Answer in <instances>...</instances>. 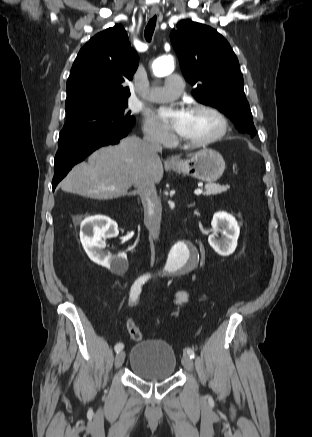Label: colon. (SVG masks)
Masks as SVG:
<instances>
[{"label":"colon","instance_id":"5ec220e1","mask_svg":"<svg viewBox=\"0 0 312 437\" xmlns=\"http://www.w3.org/2000/svg\"><path fill=\"white\" fill-rule=\"evenodd\" d=\"M127 330H128L130 337L133 340L138 341L142 338L141 331L138 329V327L135 325V323L132 320H129L127 322Z\"/></svg>","mask_w":312,"mask_h":437}]
</instances>
